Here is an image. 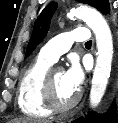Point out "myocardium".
Returning <instances> with one entry per match:
<instances>
[{"label": "myocardium", "mask_w": 118, "mask_h": 123, "mask_svg": "<svg viewBox=\"0 0 118 123\" xmlns=\"http://www.w3.org/2000/svg\"><path fill=\"white\" fill-rule=\"evenodd\" d=\"M62 71L61 68H49L43 80V101L45 106L52 112H66L72 109L81 99V93L77 91L74 97L67 103L58 102L55 95L53 74Z\"/></svg>", "instance_id": "1"}]
</instances>
